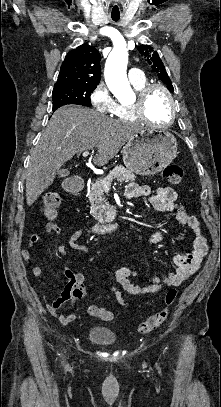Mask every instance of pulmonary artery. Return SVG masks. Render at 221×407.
Here are the masks:
<instances>
[{
    "instance_id": "e3ab8cb5",
    "label": "pulmonary artery",
    "mask_w": 221,
    "mask_h": 407,
    "mask_svg": "<svg viewBox=\"0 0 221 407\" xmlns=\"http://www.w3.org/2000/svg\"><path fill=\"white\" fill-rule=\"evenodd\" d=\"M130 82H141L145 79L144 73L139 68H131L128 73Z\"/></svg>"
}]
</instances>
